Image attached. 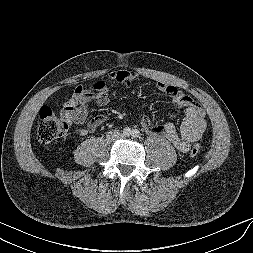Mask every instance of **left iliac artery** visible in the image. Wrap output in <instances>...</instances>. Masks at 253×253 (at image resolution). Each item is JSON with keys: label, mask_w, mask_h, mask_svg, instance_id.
<instances>
[{"label": "left iliac artery", "mask_w": 253, "mask_h": 253, "mask_svg": "<svg viewBox=\"0 0 253 253\" xmlns=\"http://www.w3.org/2000/svg\"><path fill=\"white\" fill-rule=\"evenodd\" d=\"M131 135H132L133 138H138V137H140V131L137 130V129H134L132 131Z\"/></svg>", "instance_id": "44dca946"}]
</instances>
